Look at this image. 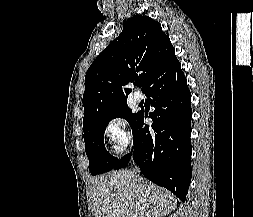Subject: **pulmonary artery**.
Masks as SVG:
<instances>
[{"label": "pulmonary artery", "mask_w": 253, "mask_h": 217, "mask_svg": "<svg viewBox=\"0 0 253 217\" xmlns=\"http://www.w3.org/2000/svg\"><path fill=\"white\" fill-rule=\"evenodd\" d=\"M133 96L137 102H141L144 99V96L140 91H135Z\"/></svg>", "instance_id": "e3ab8cb5"}]
</instances>
